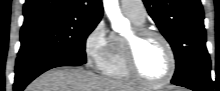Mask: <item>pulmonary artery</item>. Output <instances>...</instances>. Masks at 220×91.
<instances>
[{"instance_id": "1", "label": "pulmonary artery", "mask_w": 220, "mask_h": 91, "mask_svg": "<svg viewBox=\"0 0 220 91\" xmlns=\"http://www.w3.org/2000/svg\"><path fill=\"white\" fill-rule=\"evenodd\" d=\"M121 8L124 14L134 19L136 22H145L147 13L142 1L123 0L121 2Z\"/></svg>"}]
</instances>
